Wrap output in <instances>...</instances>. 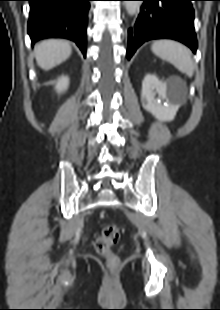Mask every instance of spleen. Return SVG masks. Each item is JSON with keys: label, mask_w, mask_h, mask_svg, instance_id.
Returning <instances> with one entry per match:
<instances>
[{"label": "spleen", "mask_w": 220, "mask_h": 310, "mask_svg": "<svg viewBox=\"0 0 220 310\" xmlns=\"http://www.w3.org/2000/svg\"><path fill=\"white\" fill-rule=\"evenodd\" d=\"M152 52L161 59L173 64L180 72L188 77L193 76V63L187 47L172 40L155 41L151 46Z\"/></svg>", "instance_id": "spleen-1"}]
</instances>
